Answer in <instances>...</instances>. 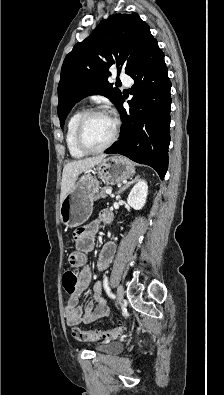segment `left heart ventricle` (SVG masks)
Masks as SVG:
<instances>
[{
  "label": "left heart ventricle",
  "instance_id": "obj_1",
  "mask_svg": "<svg viewBox=\"0 0 224 395\" xmlns=\"http://www.w3.org/2000/svg\"><path fill=\"white\" fill-rule=\"evenodd\" d=\"M113 120L105 114L91 116L84 127V140L91 148L103 146L113 133Z\"/></svg>",
  "mask_w": 224,
  "mask_h": 395
}]
</instances>
